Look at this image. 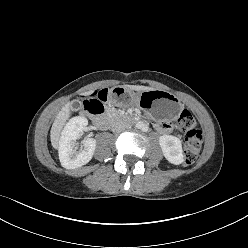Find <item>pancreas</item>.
Wrapping results in <instances>:
<instances>
[{
  "instance_id": "cf45deb5",
  "label": "pancreas",
  "mask_w": 248,
  "mask_h": 248,
  "mask_svg": "<svg viewBox=\"0 0 248 248\" xmlns=\"http://www.w3.org/2000/svg\"><path fill=\"white\" fill-rule=\"evenodd\" d=\"M108 112L112 115L115 116L117 114V110L112 108V109H108Z\"/></svg>"
}]
</instances>
